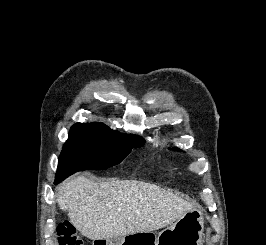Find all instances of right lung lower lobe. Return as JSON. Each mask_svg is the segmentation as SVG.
<instances>
[{"instance_id":"98d812e1","label":"right lung lower lobe","mask_w":266,"mask_h":245,"mask_svg":"<svg viewBox=\"0 0 266 245\" xmlns=\"http://www.w3.org/2000/svg\"><path fill=\"white\" fill-rule=\"evenodd\" d=\"M61 180H59L58 178L55 179V183H59Z\"/></svg>"}]
</instances>
